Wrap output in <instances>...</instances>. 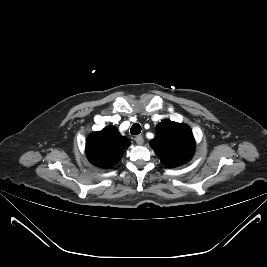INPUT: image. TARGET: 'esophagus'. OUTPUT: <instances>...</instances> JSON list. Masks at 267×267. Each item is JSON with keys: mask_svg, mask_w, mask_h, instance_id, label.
Here are the masks:
<instances>
[{"mask_svg": "<svg viewBox=\"0 0 267 267\" xmlns=\"http://www.w3.org/2000/svg\"><path fill=\"white\" fill-rule=\"evenodd\" d=\"M134 140L138 145H142L144 143L143 137L141 135L135 136Z\"/></svg>", "mask_w": 267, "mask_h": 267, "instance_id": "1", "label": "esophagus"}]
</instances>
